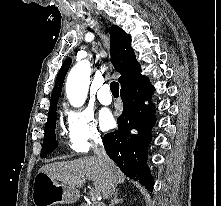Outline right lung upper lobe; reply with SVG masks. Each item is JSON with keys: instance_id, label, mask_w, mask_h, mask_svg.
I'll use <instances>...</instances> for the list:
<instances>
[{"instance_id": "1", "label": "right lung upper lobe", "mask_w": 221, "mask_h": 206, "mask_svg": "<svg viewBox=\"0 0 221 206\" xmlns=\"http://www.w3.org/2000/svg\"><path fill=\"white\" fill-rule=\"evenodd\" d=\"M110 41H111V62L116 71L121 73L118 81L122 85L130 77L134 76L140 71L134 50L131 47V37L124 30L117 25H112L110 28ZM71 64V59L68 58L64 61L60 71L57 75L55 86L51 95V102L49 113L57 108V101L62 91V85ZM48 113V114H49Z\"/></svg>"}]
</instances>
